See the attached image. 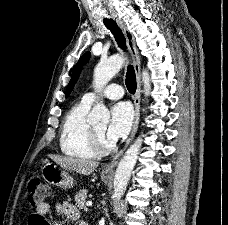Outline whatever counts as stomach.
I'll return each mask as SVG.
<instances>
[{"instance_id": "obj_1", "label": "stomach", "mask_w": 228, "mask_h": 225, "mask_svg": "<svg viewBox=\"0 0 228 225\" xmlns=\"http://www.w3.org/2000/svg\"><path fill=\"white\" fill-rule=\"evenodd\" d=\"M42 177L50 183V185H55V187H62V189H71L74 187V179H72L71 175H69L68 171H64V169H59L57 165H53V163H45L44 167H42ZM101 179L104 183H108V177H104L101 173Z\"/></svg>"}]
</instances>
